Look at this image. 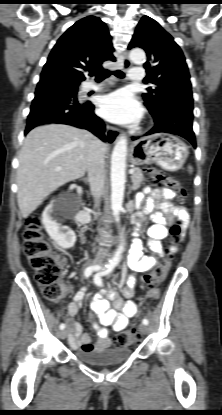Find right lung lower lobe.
<instances>
[{"label": "right lung lower lobe", "mask_w": 222, "mask_h": 415, "mask_svg": "<svg viewBox=\"0 0 222 415\" xmlns=\"http://www.w3.org/2000/svg\"><path fill=\"white\" fill-rule=\"evenodd\" d=\"M78 86L79 83L57 73L41 74L25 134L41 124L60 123L89 130L106 142L105 125L94 114V105L77 100Z\"/></svg>", "instance_id": "right-lung-lower-lobe-1"}]
</instances>
